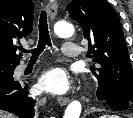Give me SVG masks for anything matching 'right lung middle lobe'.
Segmentation results:
<instances>
[{
  "instance_id": "dd1d6c3e",
  "label": "right lung middle lobe",
  "mask_w": 133,
  "mask_h": 118,
  "mask_svg": "<svg viewBox=\"0 0 133 118\" xmlns=\"http://www.w3.org/2000/svg\"><path fill=\"white\" fill-rule=\"evenodd\" d=\"M14 69L12 65H0V83L13 81Z\"/></svg>"
}]
</instances>
